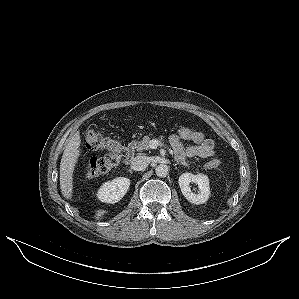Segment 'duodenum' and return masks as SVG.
Listing matches in <instances>:
<instances>
[{
	"label": "duodenum",
	"mask_w": 299,
	"mask_h": 299,
	"mask_svg": "<svg viewBox=\"0 0 299 299\" xmlns=\"http://www.w3.org/2000/svg\"><path fill=\"white\" fill-rule=\"evenodd\" d=\"M134 157V145L133 143H130L127 145L125 149V155H124V162L125 164H130L132 159Z\"/></svg>",
	"instance_id": "duodenum-1"
}]
</instances>
